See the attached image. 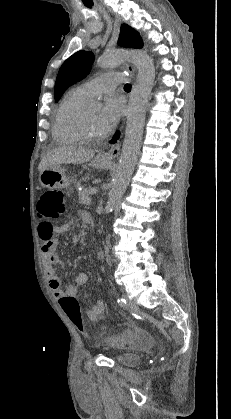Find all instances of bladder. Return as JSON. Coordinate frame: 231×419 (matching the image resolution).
I'll return each mask as SVG.
<instances>
[{
	"mask_svg": "<svg viewBox=\"0 0 231 419\" xmlns=\"http://www.w3.org/2000/svg\"><path fill=\"white\" fill-rule=\"evenodd\" d=\"M114 361L123 366H135L141 362V356L132 352H118L113 356Z\"/></svg>",
	"mask_w": 231,
	"mask_h": 419,
	"instance_id": "1",
	"label": "bladder"
}]
</instances>
